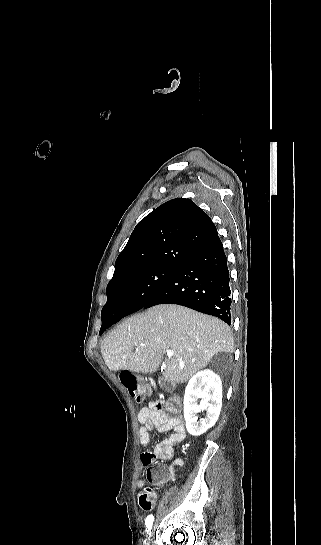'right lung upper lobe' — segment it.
I'll return each mask as SVG.
<instances>
[{
    "label": "right lung upper lobe",
    "instance_id": "1",
    "mask_svg": "<svg viewBox=\"0 0 321 545\" xmlns=\"http://www.w3.org/2000/svg\"><path fill=\"white\" fill-rule=\"evenodd\" d=\"M217 234L210 217L190 199L170 200L137 224L116 260L109 284L128 271L182 265Z\"/></svg>",
    "mask_w": 321,
    "mask_h": 545
}]
</instances>
